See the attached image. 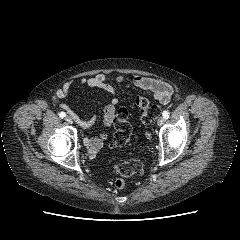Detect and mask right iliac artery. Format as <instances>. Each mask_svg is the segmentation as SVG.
<instances>
[{
  "label": "right iliac artery",
  "mask_w": 240,
  "mask_h": 240,
  "mask_svg": "<svg viewBox=\"0 0 240 240\" xmlns=\"http://www.w3.org/2000/svg\"><path fill=\"white\" fill-rule=\"evenodd\" d=\"M59 117H60V118L66 117V113H65V112H60V113H59Z\"/></svg>",
  "instance_id": "right-iliac-artery-1"
}]
</instances>
